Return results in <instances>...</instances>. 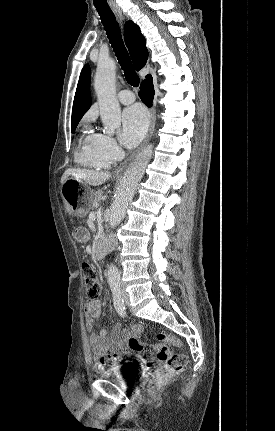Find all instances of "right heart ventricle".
Instances as JSON below:
<instances>
[{"label":"right heart ventricle","instance_id":"obj_1","mask_svg":"<svg viewBox=\"0 0 275 431\" xmlns=\"http://www.w3.org/2000/svg\"><path fill=\"white\" fill-rule=\"evenodd\" d=\"M99 134L87 132L80 139V147L76 152L77 161L89 168L105 169L112 161L103 156L98 149Z\"/></svg>","mask_w":275,"mask_h":431}]
</instances>
